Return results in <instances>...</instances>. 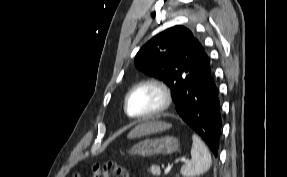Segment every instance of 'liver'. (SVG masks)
Returning <instances> with one entry per match:
<instances>
[{
  "instance_id": "6515ba94",
  "label": "liver",
  "mask_w": 287,
  "mask_h": 177,
  "mask_svg": "<svg viewBox=\"0 0 287 177\" xmlns=\"http://www.w3.org/2000/svg\"><path fill=\"white\" fill-rule=\"evenodd\" d=\"M171 127L170 124H166L163 122H145L141 125H138L134 128L129 134L128 138H135L141 135L150 134L158 131H163L169 129Z\"/></svg>"
}]
</instances>
